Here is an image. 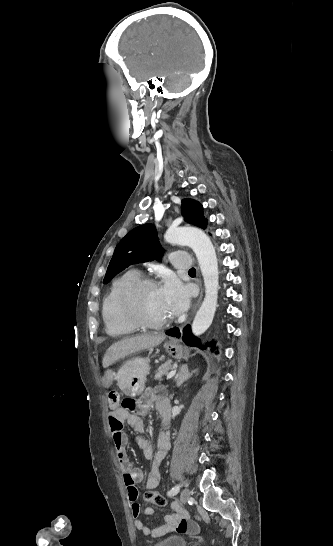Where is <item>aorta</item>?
<instances>
[{
  "instance_id": "obj_1",
  "label": "aorta",
  "mask_w": 333,
  "mask_h": 546,
  "mask_svg": "<svg viewBox=\"0 0 333 546\" xmlns=\"http://www.w3.org/2000/svg\"><path fill=\"white\" fill-rule=\"evenodd\" d=\"M166 241L187 245L194 251L204 280L205 298L196 313L192 332L199 336L211 325L217 307L219 271L215 248L209 237L195 227L170 229L165 235Z\"/></svg>"
}]
</instances>
